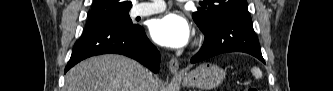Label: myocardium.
<instances>
[{"mask_svg":"<svg viewBox=\"0 0 333 91\" xmlns=\"http://www.w3.org/2000/svg\"><path fill=\"white\" fill-rule=\"evenodd\" d=\"M199 44H200V42H199V41H197V42L195 43V47H198V46H199Z\"/></svg>","mask_w":333,"mask_h":91,"instance_id":"myocardium-1","label":"myocardium"}]
</instances>
